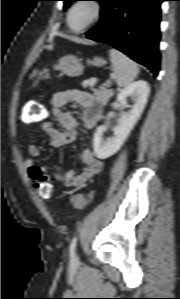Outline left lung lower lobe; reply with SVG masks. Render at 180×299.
Returning a JSON list of instances; mask_svg holds the SVG:
<instances>
[{"mask_svg":"<svg viewBox=\"0 0 180 299\" xmlns=\"http://www.w3.org/2000/svg\"><path fill=\"white\" fill-rule=\"evenodd\" d=\"M162 1L165 0H103L100 22L85 35L120 50L156 76Z\"/></svg>","mask_w":180,"mask_h":299,"instance_id":"0a47b994","label":"left lung lower lobe"}]
</instances>
